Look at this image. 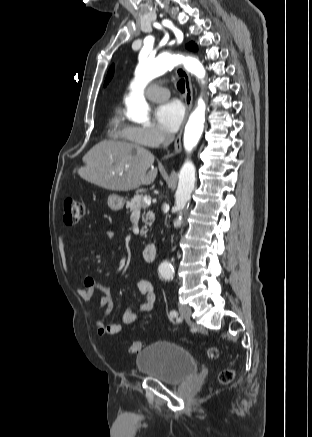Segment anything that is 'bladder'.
<instances>
[{
  "mask_svg": "<svg viewBox=\"0 0 312 437\" xmlns=\"http://www.w3.org/2000/svg\"><path fill=\"white\" fill-rule=\"evenodd\" d=\"M141 375L178 385L194 376L199 369L195 357L185 348L170 341H155L136 357Z\"/></svg>",
  "mask_w": 312,
  "mask_h": 437,
  "instance_id": "obj_1",
  "label": "bladder"
}]
</instances>
